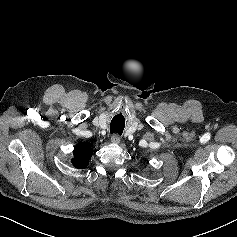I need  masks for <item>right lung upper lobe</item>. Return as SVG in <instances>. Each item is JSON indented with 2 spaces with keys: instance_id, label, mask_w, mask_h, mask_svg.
<instances>
[{
  "instance_id": "cb5924a9",
  "label": "right lung upper lobe",
  "mask_w": 237,
  "mask_h": 237,
  "mask_svg": "<svg viewBox=\"0 0 237 237\" xmlns=\"http://www.w3.org/2000/svg\"><path fill=\"white\" fill-rule=\"evenodd\" d=\"M74 159L72 160V164L76 168H85L88 165V161L92 155V150L90 145L79 143L77 147L74 149Z\"/></svg>"
}]
</instances>
